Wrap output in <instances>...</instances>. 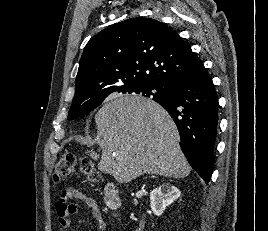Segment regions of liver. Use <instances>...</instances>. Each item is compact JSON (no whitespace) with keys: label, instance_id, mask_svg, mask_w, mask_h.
Returning a JSON list of instances; mask_svg holds the SVG:
<instances>
[{"label":"liver","instance_id":"liver-1","mask_svg":"<svg viewBox=\"0 0 268 231\" xmlns=\"http://www.w3.org/2000/svg\"><path fill=\"white\" fill-rule=\"evenodd\" d=\"M98 169L118 183L142 174L184 178L191 167L179 146V133L167 111L151 99L125 95L105 103L95 116Z\"/></svg>","mask_w":268,"mask_h":231}]
</instances>
